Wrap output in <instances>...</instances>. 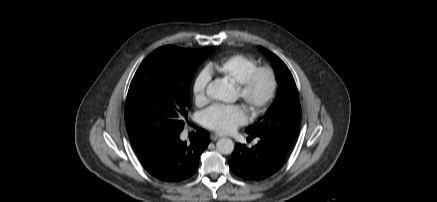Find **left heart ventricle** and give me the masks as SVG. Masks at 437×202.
<instances>
[{"mask_svg": "<svg viewBox=\"0 0 437 202\" xmlns=\"http://www.w3.org/2000/svg\"><path fill=\"white\" fill-rule=\"evenodd\" d=\"M269 82L265 75L260 76L253 87V95L257 98L262 97L268 90ZM238 96H240L239 90H237Z\"/></svg>", "mask_w": 437, "mask_h": 202, "instance_id": "obj_1", "label": "left heart ventricle"}]
</instances>
